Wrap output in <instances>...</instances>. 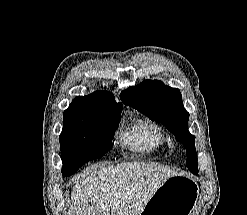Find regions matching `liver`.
<instances>
[{"instance_id":"obj_1","label":"liver","mask_w":247,"mask_h":215,"mask_svg":"<svg viewBox=\"0 0 247 215\" xmlns=\"http://www.w3.org/2000/svg\"><path fill=\"white\" fill-rule=\"evenodd\" d=\"M176 175L169 167L140 162L94 170L74 187L71 215H139L160 185Z\"/></svg>"}]
</instances>
